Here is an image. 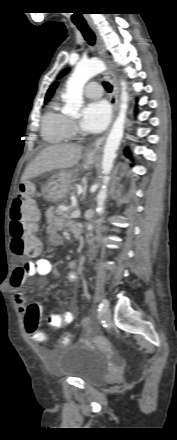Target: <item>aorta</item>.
I'll use <instances>...</instances> for the list:
<instances>
[{
	"label": "aorta",
	"instance_id": "1",
	"mask_svg": "<svg viewBox=\"0 0 177 440\" xmlns=\"http://www.w3.org/2000/svg\"><path fill=\"white\" fill-rule=\"evenodd\" d=\"M105 64L99 59H91L88 61H80L77 63L75 70L66 84V93L64 99L66 105L64 113L68 115H77L79 109L83 104V88L85 84L93 76L105 71ZM127 85L124 80H121V103L118 116L113 123L111 131L107 137L102 158V173L103 184L97 195L96 211L104 209L107 198V187L110 180L109 174L113 167V162L116 157V151L119 148L120 142L124 133V125L126 119V112L128 108V93L126 91ZM88 231L93 229L92 224H88Z\"/></svg>",
	"mask_w": 177,
	"mask_h": 440
}]
</instances>
